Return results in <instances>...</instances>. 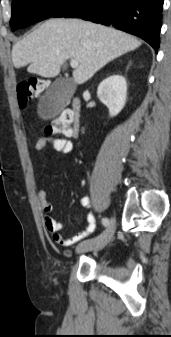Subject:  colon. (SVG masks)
Here are the masks:
<instances>
[{"label":"colon","instance_id":"5ec220e1","mask_svg":"<svg viewBox=\"0 0 171 337\" xmlns=\"http://www.w3.org/2000/svg\"><path fill=\"white\" fill-rule=\"evenodd\" d=\"M48 82L43 79L28 78L23 79L17 84V98L19 105L24 108L36 94L44 91ZM72 131L71 123L66 114L46 126V135H68Z\"/></svg>","mask_w":171,"mask_h":337}]
</instances>
